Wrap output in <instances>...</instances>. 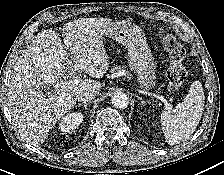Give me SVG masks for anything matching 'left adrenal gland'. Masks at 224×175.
Segmentation results:
<instances>
[{
	"label": "left adrenal gland",
	"instance_id": "obj_1",
	"mask_svg": "<svg viewBox=\"0 0 224 175\" xmlns=\"http://www.w3.org/2000/svg\"><path fill=\"white\" fill-rule=\"evenodd\" d=\"M138 99L141 100L142 104H146L148 102L147 100H145V99H143L142 97H139V96H138Z\"/></svg>",
	"mask_w": 224,
	"mask_h": 175
}]
</instances>
